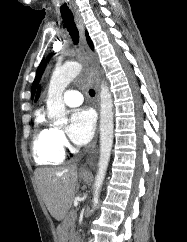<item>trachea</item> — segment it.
<instances>
[{
	"label": "trachea",
	"mask_w": 187,
	"mask_h": 242,
	"mask_svg": "<svg viewBox=\"0 0 187 242\" xmlns=\"http://www.w3.org/2000/svg\"><path fill=\"white\" fill-rule=\"evenodd\" d=\"M61 16L63 18V22L67 31L69 32L73 42L75 45H78L79 42V32L74 22V17L71 12H61ZM89 95L91 97L95 96V91L93 89L89 90Z\"/></svg>",
	"instance_id": "1"
}]
</instances>
